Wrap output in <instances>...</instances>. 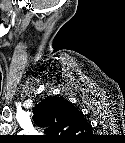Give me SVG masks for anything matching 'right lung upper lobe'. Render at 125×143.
Returning a JSON list of instances; mask_svg holds the SVG:
<instances>
[{"instance_id":"obj_1","label":"right lung upper lobe","mask_w":125,"mask_h":143,"mask_svg":"<svg viewBox=\"0 0 125 143\" xmlns=\"http://www.w3.org/2000/svg\"><path fill=\"white\" fill-rule=\"evenodd\" d=\"M33 120L39 125L50 126V133L79 135L92 130L82 112L57 97H47L34 107Z\"/></svg>"}]
</instances>
